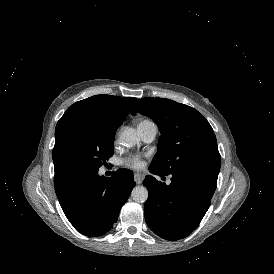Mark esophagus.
Masks as SVG:
<instances>
[{"instance_id":"obj_1","label":"esophagus","mask_w":274,"mask_h":274,"mask_svg":"<svg viewBox=\"0 0 274 274\" xmlns=\"http://www.w3.org/2000/svg\"><path fill=\"white\" fill-rule=\"evenodd\" d=\"M134 180L137 184H141L144 180V175L141 173H134Z\"/></svg>"}]
</instances>
